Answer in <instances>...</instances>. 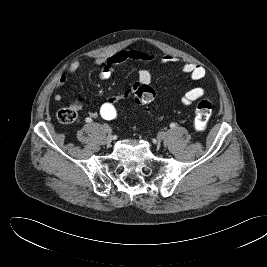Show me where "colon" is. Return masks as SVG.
I'll return each instance as SVG.
<instances>
[{"label":"colon","instance_id":"5ec220e1","mask_svg":"<svg viewBox=\"0 0 267 267\" xmlns=\"http://www.w3.org/2000/svg\"><path fill=\"white\" fill-rule=\"evenodd\" d=\"M155 97L154 89L148 84L139 85L135 90V101L139 105H147L153 101ZM120 112L119 101L114 97L105 99L98 107L96 113L106 121L117 119ZM212 112V105L206 99H201L195 109L194 128L198 132H202L207 128ZM77 118L76 112L71 108H62L57 113V119L62 124H71Z\"/></svg>","mask_w":267,"mask_h":267}]
</instances>
